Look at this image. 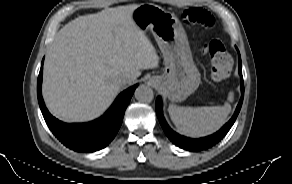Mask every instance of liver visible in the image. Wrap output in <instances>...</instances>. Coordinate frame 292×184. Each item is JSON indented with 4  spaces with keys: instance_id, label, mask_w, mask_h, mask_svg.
<instances>
[{
    "instance_id": "1",
    "label": "liver",
    "mask_w": 292,
    "mask_h": 184,
    "mask_svg": "<svg viewBox=\"0 0 292 184\" xmlns=\"http://www.w3.org/2000/svg\"><path fill=\"white\" fill-rule=\"evenodd\" d=\"M137 6H120L80 16L66 24L48 51L42 94L52 115L64 122H86L103 114L121 86L140 70L155 68L156 51L135 24Z\"/></svg>"
}]
</instances>
